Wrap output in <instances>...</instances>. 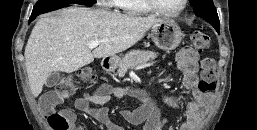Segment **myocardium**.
Masks as SVG:
<instances>
[{"mask_svg":"<svg viewBox=\"0 0 257 130\" xmlns=\"http://www.w3.org/2000/svg\"><path fill=\"white\" fill-rule=\"evenodd\" d=\"M145 4L147 5V7L152 11L155 12L157 14L163 15V16H168V17H176L179 14H181L187 7L188 5V0H183V3L181 5V7L179 9H177L176 11H166L162 8H160L155 0H144Z\"/></svg>","mask_w":257,"mask_h":130,"instance_id":"1","label":"myocardium"}]
</instances>
